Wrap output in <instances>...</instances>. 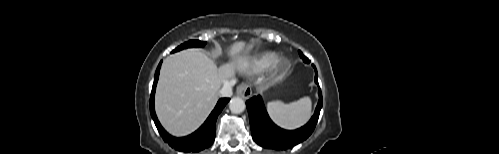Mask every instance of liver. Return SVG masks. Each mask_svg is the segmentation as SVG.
I'll return each mask as SVG.
<instances>
[{
    "label": "liver",
    "instance_id": "6515ba94",
    "mask_svg": "<svg viewBox=\"0 0 499 154\" xmlns=\"http://www.w3.org/2000/svg\"><path fill=\"white\" fill-rule=\"evenodd\" d=\"M244 42L230 46L231 61L219 68L199 49H186L168 56L161 67L155 108L163 127L172 135L195 131L208 117L218 100L222 84L247 66L242 56Z\"/></svg>",
    "mask_w": 499,
    "mask_h": 154
}]
</instances>
